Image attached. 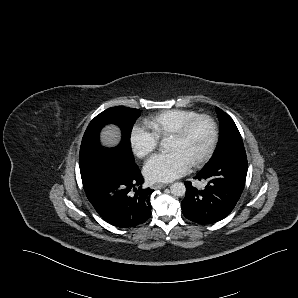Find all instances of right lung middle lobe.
I'll list each match as a JSON object with an SVG mask.
<instances>
[{"label": "right lung middle lobe", "mask_w": 298, "mask_h": 298, "mask_svg": "<svg viewBox=\"0 0 298 298\" xmlns=\"http://www.w3.org/2000/svg\"><path fill=\"white\" fill-rule=\"evenodd\" d=\"M139 109L116 106L108 108L97 115L88 125L80 147L79 165L81 177L87 178L104 173L111 168L112 163L121 167H135L134 157L130 147V136L135 120L140 116ZM109 123L118 125L122 130V140L113 149L100 145V130ZM113 158L111 162H103L104 158Z\"/></svg>", "instance_id": "right-lung-middle-lobe-1"}]
</instances>
